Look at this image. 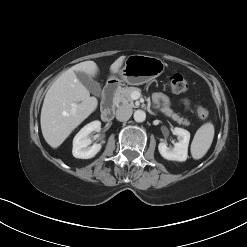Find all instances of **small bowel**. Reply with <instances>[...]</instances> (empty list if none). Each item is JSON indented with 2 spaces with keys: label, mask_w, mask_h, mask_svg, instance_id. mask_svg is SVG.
Returning <instances> with one entry per match:
<instances>
[{
  "label": "small bowel",
  "mask_w": 247,
  "mask_h": 247,
  "mask_svg": "<svg viewBox=\"0 0 247 247\" xmlns=\"http://www.w3.org/2000/svg\"><path fill=\"white\" fill-rule=\"evenodd\" d=\"M154 99L157 100V101H161V102H163L165 104L168 103V98L165 95L161 94V93L155 94ZM184 103H185V105L189 104V102L187 100H185Z\"/></svg>",
  "instance_id": "1"
}]
</instances>
